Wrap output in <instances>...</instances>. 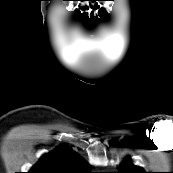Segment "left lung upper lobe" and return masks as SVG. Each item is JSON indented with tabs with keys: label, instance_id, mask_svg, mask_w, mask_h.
<instances>
[{
	"label": "left lung upper lobe",
	"instance_id": "5c2ea615",
	"mask_svg": "<svg viewBox=\"0 0 173 173\" xmlns=\"http://www.w3.org/2000/svg\"><path fill=\"white\" fill-rule=\"evenodd\" d=\"M119 170L120 172L118 173H146L141 167L135 166L129 161L121 164Z\"/></svg>",
	"mask_w": 173,
	"mask_h": 173
}]
</instances>
